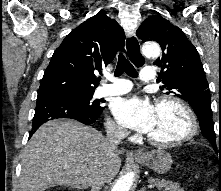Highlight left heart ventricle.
I'll use <instances>...</instances> for the list:
<instances>
[{
    "label": "left heart ventricle",
    "mask_w": 221,
    "mask_h": 191,
    "mask_svg": "<svg viewBox=\"0 0 221 191\" xmlns=\"http://www.w3.org/2000/svg\"><path fill=\"white\" fill-rule=\"evenodd\" d=\"M188 128L185 113L176 105L165 103L156 107L154 124L148 135L157 140H175Z\"/></svg>",
    "instance_id": "left-heart-ventricle-1"
}]
</instances>
